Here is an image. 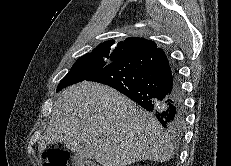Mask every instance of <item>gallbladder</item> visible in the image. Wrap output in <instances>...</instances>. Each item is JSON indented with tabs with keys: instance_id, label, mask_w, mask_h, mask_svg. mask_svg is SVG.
<instances>
[{
	"instance_id": "obj_1",
	"label": "gallbladder",
	"mask_w": 231,
	"mask_h": 166,
	"mask_svg": "<svg viewBox=\"0 0 231 166\" xmlns=\"http://www.w3.org/2000/svg\"><path fill=\"white\" fill-rule=\"evenodd\" d=\"M73 166H92L91 162L87 159L80 160L78 157H74L72 161Z\"/></svg>"
}]
</instances>
